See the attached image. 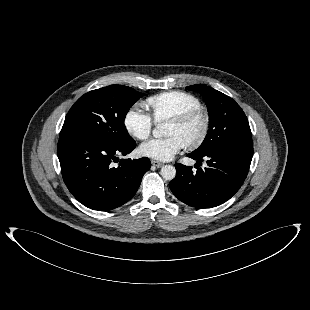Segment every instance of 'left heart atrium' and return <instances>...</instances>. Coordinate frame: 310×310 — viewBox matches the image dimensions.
<instances>
[{
    "mask_svg": "<svg viewBox=\"0 0 310 310\" xmlns=\"http://www.w3.org/2000/svg\"><path fill=\"white\" fill-rule=\"evenodd\" d=\"M184 147L183 141L175 135L152 139L143 143L140 147L142 155L160 161H169Z\"/></svg>",
    "mask_w": 310,
    "mask_h": 310,
    "instance_id": "obj_1",
    "label": "left heart atrium"
}]
</instances>
